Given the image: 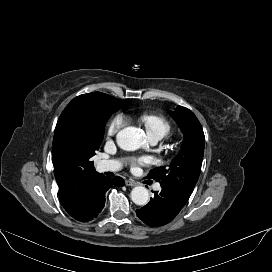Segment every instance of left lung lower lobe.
<instances>
[{"instance_id":"1","label":"left lung lower lobe","mask_w":272,"mask_h":272,"mask_svg":"<svg viewBox=\"0 0 272 272\" xmlns=\"http://www.w3.org/2000/svg\"><path fill=\"white\" fill-rule=\"evenodd\" d=\"M186 202L187 200L174 191L162 187L161 191L155 192L150 202L141 209H137L136 213L149 226H163L176 217Z\"/></svg>"}]
</instances>
